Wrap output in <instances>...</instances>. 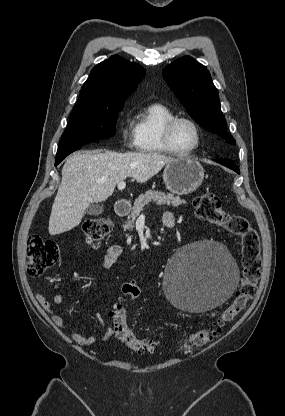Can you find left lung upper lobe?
I'll return each instance as SVG.
<instances>
[{
	"instance_id": "5c2ea615",
	"label": "left lung upper lobe",
	"mask_w": 285,
	"mask_h": 416,
	"mask_svg": "<svg viewBox=\"0 0 285 416\" xmlns=\"http://www.w3.org/2000/svg\"><path fill=\"white\" fill-rule=\"evenodd\" d=\"M163 77L189 115L206 130L219 134L228 144L235 139L226 130L219 94L208 69L185 56L166 66Z\"/></svg>"
}]
</instances>
